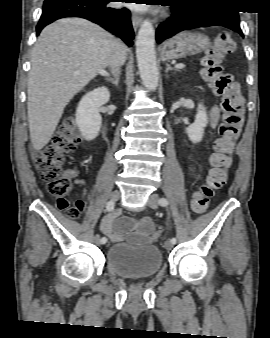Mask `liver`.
I'll list each match as a JSON object with an SVG mask.
<instances>
[{
	"label": "liver",
	"mask_w": 270,
	"mask_h": 338,
	"mask_svg": "<svg viewBox=\"0 0 270 338\" xmlns=\"http://www.w3.org/2000/svg\"><path fill=\"white\" fill-rule=\"evenodd\" d=\"M122 46L98 25L81 18L60 19L45 27L33 47L28 80V122L34 150L50 141L69 101L104 72Z\"/></svg>",
	"instance_id": "1"
}]
</instances>
